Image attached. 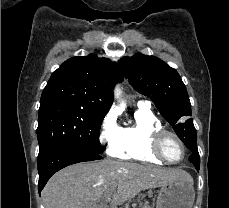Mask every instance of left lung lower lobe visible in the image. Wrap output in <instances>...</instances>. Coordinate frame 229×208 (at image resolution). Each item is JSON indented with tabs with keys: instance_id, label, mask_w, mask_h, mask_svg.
<instances>
[{
	"instance_id": "left-lung-lower-lobe-1",
	"label": "left lung lower lobe",
	"mask_w": 229,
	"mask_h": 208,
	"mask_svg": "<svg viewBox=\"0 0 229 208\" xmlns=\"http://www.w3.org/2000/svg\"><path fill=\"white\" fill-rule=\"evenodd\" d=\"M184 144L192 152L189 157V161L192 162L195 168L199 171L200 157L197 149V139L193 141H184Z\"/></svg>"
}]
</instances>
